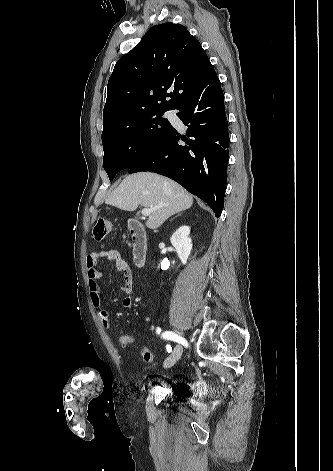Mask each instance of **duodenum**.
<instances>
[{
	"label": "duodenum",
	"instance_id": "duodenum-1",
	"mask_svg": "<svg viewBox=\"0 0 333 471\" xmlns=\"http://www.w3.org/2000/svg\"><path fill=\"white\" fill-rule=\"evenodd\" d=\"M128 228L132 237V255L136 266L143 267L146 264L148 242L147 235L143 225L131 219L128 222Z\"/></svg>",
	"mask_w": 333,
	"mask_h": 471
}]
</instances>
